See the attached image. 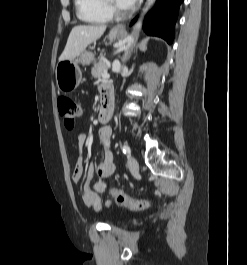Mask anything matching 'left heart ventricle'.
<instances>
[{
  "instance_id": "b2bd125f",
  "label": "left heart ventricle",
  "mask_w": 247,
  "mask_h": 265,
  "mask_svg": "<svg viewBox=\"0 0 247 265\" xmlns=\"http://www.w3.org/2000/svg\"><path fill=\"white\" fill-rule=\"evenodd\" d=\"M112 1H113V3L117 4L116 0H112Z\"/></svg>"
}]
</instances>
